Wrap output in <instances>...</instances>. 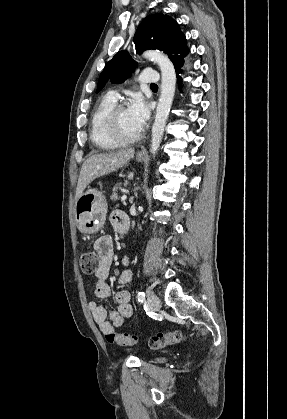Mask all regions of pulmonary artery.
<instances>
[{
    "mask_svg": "<svg viewBox=\"0 0 287 419\" xmlns=\"http://www.w3.org/2000/svg\"><path fill=\"white\" fill-rule=\"evenodd\" d=\"M160 79L159 74L156 71L153 70H144L139 76H138V82L140 83H149V84H157ZM111 97L114 99L118 98V92L117 91H111L109 93Z\"/></svg>",
    "mask_w": 287,
    "mask_h": 419,
    "instance_id": "pulmonary-artery-1",
    "label": "pulmonary artery"
}]
</instances>
